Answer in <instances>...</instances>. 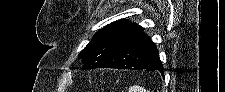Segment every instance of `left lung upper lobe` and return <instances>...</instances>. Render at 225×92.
Here are the masks:
<instances>
[{"instance_id":"obj_1","label":"left lung upper lobe","mask_w":225,"mask_h":92,"mask_svg":"<svg viewBox=\"0 0 225 92\" xmlns=\"http://www.w3.org/2000/svg\"><path fill=\"white\" fill-rule=\"evenodd\" d=\"M143 32V28L126 19L113 22L98 31L88 45L79 53L83 68L94 69L121 47Z\"/></svg>"}]
</instances>
